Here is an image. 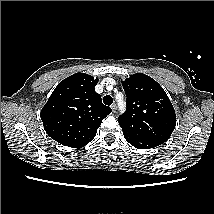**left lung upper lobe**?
<instances>
[{
    "label": "left lung upper lobe",
    "instance_id": "1",
    "mask_svg": "<svg viewBox=\"0 0 214 214\" xmlns=\"http://www.w3.org/2000/svg\"><path fill=\"white\" fill-rule=\"evenodd\" d=\"M122 86L127 96V110L118 118L123 134L157 145L166 142L176 126V114L164 89L142 73L131 75Z\"/></svg>",
    "mask_w": 214,
    "mask_h": 214
}]
</instances>
